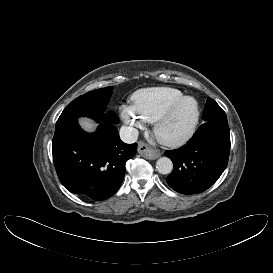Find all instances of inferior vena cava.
<instances>
[{
  "mask_svg": "<svg viewBox=\"0 0 273 273\" xmlns=\"http://www.w3.org/2000/svg\"><path fill=\"white\" fill-rule=\"evenodd\" d=\"M120 138L125 143H134L138 138V130L130 126H122L120 129Z\"/></svg>",
  "mask_w": 273,
  "mask_h": 273,
  "instance_id": "obj_1",
  "label": "inferior vena cava"
}]
</instances>
